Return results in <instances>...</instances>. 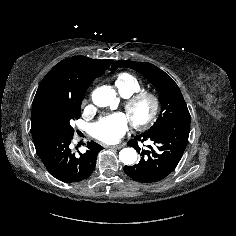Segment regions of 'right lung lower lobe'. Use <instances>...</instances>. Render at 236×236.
Instances as JSON below:
<instances>
[{
  "instance_id": "obj_1",
  "label": "right lung lower lobe",
  "mask_w": 236,
  "mask_h": 236,
  "mask_svg": "<svg viewBox=\"0 0 236 236\" xmlns=\"http://www.w3.org/2000/svg\"><path fill=\"white\" fill-rule=\"evenodd\" d=\"M36 152L46 169L56 179L73 183L88 178L96 165L98 152L103 147L88 142V150L76 155L70 149L72 137L44 130L31 129Z\"/></svg>"
}]
</instances>
